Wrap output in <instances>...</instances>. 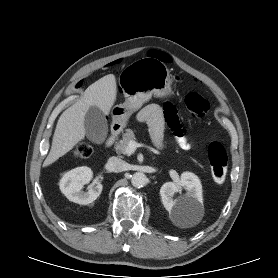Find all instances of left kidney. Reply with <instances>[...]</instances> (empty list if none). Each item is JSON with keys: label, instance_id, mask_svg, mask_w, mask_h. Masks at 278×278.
Masks as SVG:
<instances>
[{"label": "left kidney", "instance_id": "1", "mask_svg": "<svg viewBox=\"0 0 278 278\" xmlns=\"http://www.w3.org/2000/svg\"><path fill=\"white\" fill-rule=\"evenodd\" d=\"M182 188L187 191L185 196L174 199V194ZM160 195L170 217L178 223L195 221L203 210L202 185L199 178L191 172L182 173L176 183H164Z\"/></svg>", "mask_w": 278, "mask_h": 278}]
</instances>
